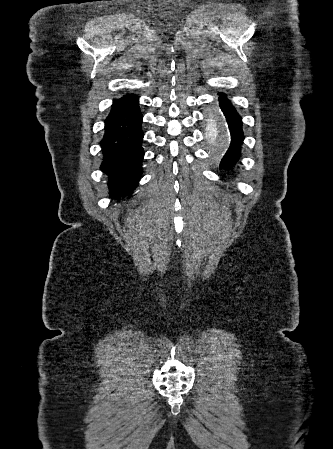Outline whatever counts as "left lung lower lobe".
Masks as SVG:
<instances>
[{
    "label": "left lung lower lobe",
    "instance_id": "left-lung-lower-lobe-1",
    "mask_svg": "<svg viewBox=\"0 0 333 449\" xmlns=\"http://www.w3.org/2000/svg\"><path fill=\"white\" fill-rule=\"evenodd\" d=\"M219 96V104L226 117L231 134L230 147L220 163V168L229 170L230 167L235 164L239 158L240 148L244 139V135L242 131V121L240 116L228 101L225 94L220 93Z\"/></svg>",
    "mask_w": 333,
    "mask_h": 449
}]
</instances>
